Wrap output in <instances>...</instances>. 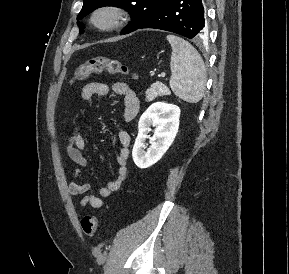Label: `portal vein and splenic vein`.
Instances as JSON below:
<instances>
[{
  "mask_svg": "<svg viewBox=\"0 0 289 274\" xmlns=\"http://www.w3.org/2000/svg\"><path fill=\"white\" fill-rule=\"evenodd\" d=\"M159 76L164 78L166 76V74L165 73H161Z\"/></svg>",
  "mask_w": 289,
  "mask_h": 274,
  "instance_id": "portal-vein-and-splenic-vein-1",
  "label": "portal vein and splenic vein"
}]
</instances>
